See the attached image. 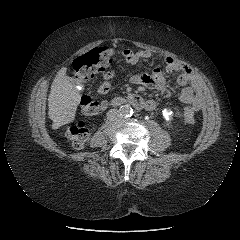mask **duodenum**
I'll use <instances>...</instances> for the list:
<instances>
[{
    "mask_svg": "<svg viewBox=\"0 0 240 240\" xmlns=\"http://www.w3.org/2000/svg\"><path fill=\"white\" fill-rule=\"evenodd\" d=\"M126 103L132 105L136 109L146 108V103L137 94H129L127 96L117 97V98H114L111 101V105L114 106V107L120 106V105H123V104H126Z\"/></svg>",
    "mask_w": 240,
    "mask_h": 240,
    "instance_id": "obj_1",
    "label": "duodenum"
}]
</instances>
